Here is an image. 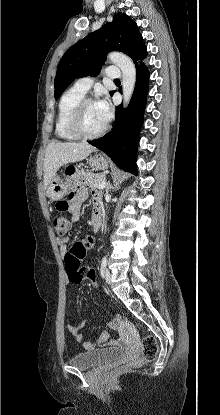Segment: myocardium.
<instances>
[{
  "label": "myocardium",
  "instance_id": "myocardium-1",
  "mask_svg": "<svg viewBox=\"0 0 220 415\" xmlns=\"http://www.w3.org/2000/svg\"><path fill=\"white\" fill-rule=\"evenodd\" d=\"M93 98H83L71 111L68 119V127L70 131L81 139H95L100 137L107 129V124L95 133H87L82 126V116L87 105L95 103Z\"/></svg>",
  "mask_w": 220,
  "mask_h": 415
}]
</instances>
